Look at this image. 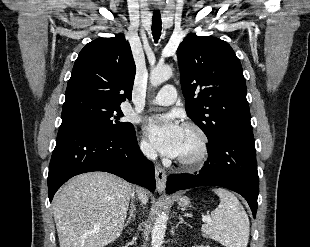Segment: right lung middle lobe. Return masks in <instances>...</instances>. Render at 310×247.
I'll return each instance as SVG.
<instances>
[{
  "instance_id": "right-lung-middle-lobe-1",
  "label": "right lung middle lobe",
  "mask_w": 310,
  "mask_h": 247,
  "mask_svg": "<svg viewBox=\"0 0 310 247\" xmlns=\"http://www.w3.org/2000/svg\"><path fill=\"white\" fill-rule=\"evenodd\" d=\"M122 116L123 113L120 108H99L93 106L71 107L62 110V123L60 129L84 126L94 127L120 135L133 129L131 123L119 121Z\"/></svg>"
}]
</instances>
